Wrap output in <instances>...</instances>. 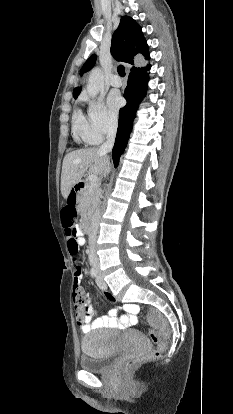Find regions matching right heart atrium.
<instances>
[{
	"mask_svg": "<svg viewBox=\"0 0 233 414\" xmlns=\"http://www.w3.org/2000/svg\"><path fill=\"white\" fill-rule=\"evenodd\" d=\"M88 120L91 141L100 143L105 137L113 134L118 125L117 116L112 113L101 99L88 101Z\"/></svg>",
	"mask_w": 233,
	"mask_h": 414,
	"instance_id": "d8ad5b80",
	"label": "right heart atrium"
}]
</instances>
